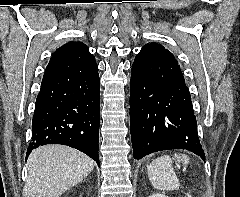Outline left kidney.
<instances>
[{
	"instance_id": "obj_1",
	"label": "left kidney",
	"mask_w": 240,
	"mask_h": 197,
	"mask_svg": "<svg viewBox=\"0 0 240 197\" xmlns=\"http://www.w3.org/2000/svg\"><path fill=\"white\" fill-rule=\"evenodd\" d=\"M149 197H168V196L165 194H161V193H154V194L150 195Z\"/></svg>"
}]
</instances>
